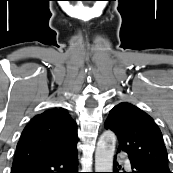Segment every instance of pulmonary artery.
I'll list each match as a JSON object with an SVG mask.
<instances>
[{"label":"pulmonary artery","mask_w":173,"mask_h":173,"mask_svg":"<svg viewBox=\"0 0 173 173\" xmlns=\"http://www.w3.org/2000/svg\"><path fill=\"white\" fill-rule=\"evenodd\" d=\"M125 163L128 165V161H125Z\"/></svg>","instance_id":"pulmonary-artery-1"}]
</instances>
